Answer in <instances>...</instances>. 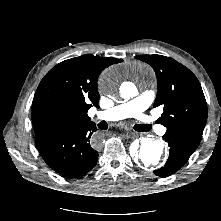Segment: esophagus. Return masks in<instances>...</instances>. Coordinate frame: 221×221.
Segmentation results:
<instances>
[{
  "label": "esophagus",
  "mask_w": 221,
  "mask_h": 221,
  "mask_svg": "<svg viewBox=\"0 0 221 221\" xmlns=\"http://www.w3.org/2000/svg\"><path fill=\"white\" fill-rule=\"evenodd\" d=\"M135 135H136L135 132H132V131H127V132H126V136H127V137H133V136H135Z\"/></svg>",
  "instance_id": "esophagus-1"
}]
</instances>
